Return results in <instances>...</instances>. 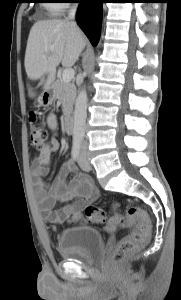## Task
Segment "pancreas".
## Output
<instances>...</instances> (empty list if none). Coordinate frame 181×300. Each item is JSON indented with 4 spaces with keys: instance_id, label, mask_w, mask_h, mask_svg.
Segmentation results:
<instances>
[{
    "instance_id": "cf45deb5",
    "label": "pancreas",
    "mask_w": 181,
    "mask_h": 300,
    "mask_svg": "<svg viewBox=\"0 0 181 300\" xmlns=\"http://www.w3.org/2000/svg\"><path fill=\"white\" fill-rule=\"evenodd\" d=\"M55 97L62 103L64 116L70 115L76 97V87L73 83H65L57 79L53 85Z\"/></svg>"
}]
</instances>
